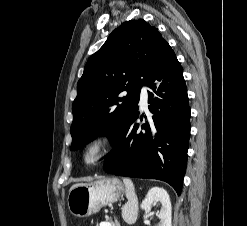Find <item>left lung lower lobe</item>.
I'll return each instance as SVG.
<instances>
[{
  "mask_svg": "<svg viewBox=\"0 0 247 226\" xmlns=\"http://www.w3.org/2000/svg\"><path fill=\"white\" fill-rule=\"evenodd\" d=\"M143 85L150 88L151 115L140 125L137 107L119 130L103 168L117 176L165 181L180 195L187 164L190 107L182 66L168 43Z\"/></svg>",
  "mask_w": 247,
  "mask_h": 226,
  "instance_id": "obj_1",
  "label": "left lung lower lobe"
}]
</instances>
